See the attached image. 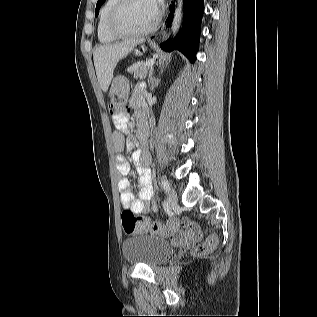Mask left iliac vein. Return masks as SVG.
I'll list each match as a JSON object with an SVG mask.
<instances>
[{
	"mask_svg": "<svg viewBox=\"0 0 317 317\" xmlns=\"http://www.w3.org/2000/svg\"><path fill=\"white\" fill-rule=\"evenodd\" d=\"M178 201V196L174 188L170 187L168 190V204L170 207L174 206Z\"/></svg>",
	"mask_w": 317,
	"mask_h": 317,
	"instance_id": "1",
	"label": "left iliac vein"
}]
</instances>
